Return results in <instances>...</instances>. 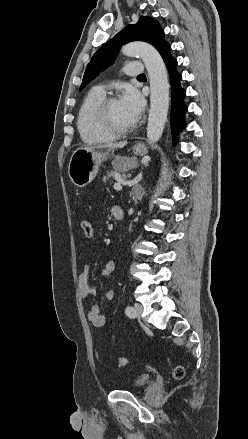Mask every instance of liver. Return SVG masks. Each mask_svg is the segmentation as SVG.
Segmentation results:
<instances>
[{
	"mask_svg": "<svg viewBox=\"0 0 248 439\" xmlns=\"http://www.w3.org/2000/svg\"><path fill=\"white\" fill-rule=\"evenodd\" d=\"M127 142L126 141H122V142H116V143H108L105 145H100L97 147H84V148H78V149H97V148H110V149H119V148H123L124 146H126Z\"/></svg>",
	"mask_w": 248,
	"mask_h": 439,
	"instance_id": "obj_1",
	"label": "liver"
}]
</instances>
